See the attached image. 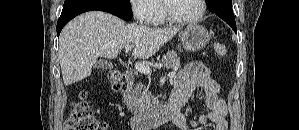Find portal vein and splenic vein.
<instances>
[{"instance_id": "18ae733b", "label": "portal vein and splenic vein", "mask_w": 299, "mask_h": 130, "mask_svg": "<svg viewBox=\"0 0 299 130\" xmlns=\"http://www.w3.org/2000/svg\"><path fill=\"white\" fill-rule=\"evenodd\" d=\"M132 46L131 45H127L125 46V51L129 52L131 50ZM135 69L138 70L139 72L149 75L151 74V68L147 65L141 64V63H136L135 64ZM176 73L175 72H171L168 74L169 78H173L175 77Z\"/></svg>"}]
</instances>
